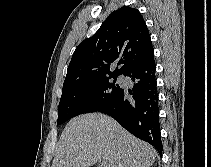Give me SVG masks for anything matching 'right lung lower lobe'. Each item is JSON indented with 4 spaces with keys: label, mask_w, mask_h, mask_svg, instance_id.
Listing matches in <instances>:
<instances>
[{
    "label": "right lung lower lobe",
    "mask_w": 211,
    "mask_h": 167,
    "mask_svg": "<svg viewBox=\"0 0 211 167\" xmlns=\"http://www.w3.org/2000/svg\"><path fill=\"white\" fill-rule=\"evenodd\" d=\"M155 70L154 55L128 69L123 75L133 81L132 90L122 89L98 112L113 117L134 136L155 147L161 155L163 145L160 137ZM130 95L133 99H129Z\"/></svg>",
    "instance_id": "1"
}]
</instances>
